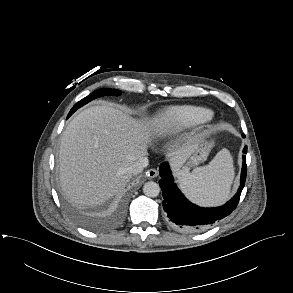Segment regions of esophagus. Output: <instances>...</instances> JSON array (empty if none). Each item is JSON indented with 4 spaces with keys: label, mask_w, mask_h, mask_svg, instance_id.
<instances>
[{
    "label": "esophagus",
    "mask_w": 293,
    "mask_h": 293,
    "mask_svg": "<svg viewBox=\"0 0 293 293\" xmlns=\"http://www.w3.org/2000/svg\"><path fill=\"white\" fill-rule=\"evenodd\" d=\"M146 176L150 179L156 178L158 176V171L156 169H149L146 171Z\"/></svg>",
    "instance_id": "obj_1"
}]
</instances>
